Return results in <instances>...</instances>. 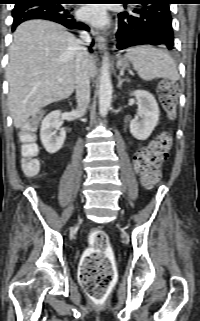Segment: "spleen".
I'll list each match as a JSON object with an SVG mask.
<instances>
[{"instance_id": "1", "label": "spleen", "mask_w": 200, "mask_h": 321, "mask_svg": "<svg viewBox=\"0 0 200 321\" xmlns=\"http://www.w3.org/2000/svg\"><path fill=\"white\" fill-rule=\"evenodd\" d=\"M125 58L130 60L139 77L150 81L155 78L179 80V74L174 59L165 50L150 45L131 47Z\"/></svg>"}]
</instances>
